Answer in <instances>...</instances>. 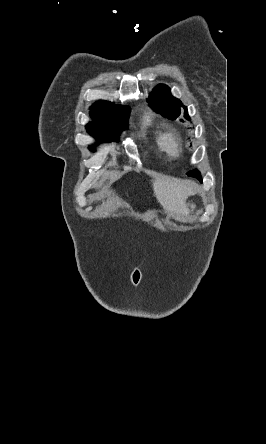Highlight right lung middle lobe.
Segmentation results:
<instances>
[{"instance_id":"obj_1","label":"right lung middle lobe","mask_w":266,"mask_h":444,"mask_svg":"<svg viewBox=\"0 0 266 444\" xmlns=\"http://www.w3.org/2000/svg\"><path fill=\"white\" fill-rule=\"evenodd\" d=\"M130 107L108 104L90 111L94 122L86 125L87 131L99 140H118L120 133L127 128ZM95 150L94 147H89Z\"/></svg>"}]
</instances>
